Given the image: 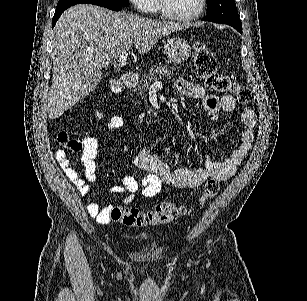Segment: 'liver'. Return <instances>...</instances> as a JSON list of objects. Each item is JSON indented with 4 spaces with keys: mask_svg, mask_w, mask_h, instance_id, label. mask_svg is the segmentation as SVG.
Returning <instances> with one entry per match:
<instances>
[{
    "mask_svg": "<svg viewBox=\"0 0 307 301\" xmlns=\"http://www.w3.org/2000/svg\"><path fill=\"white\" fill-rule=\"evenodd\" d=\"M188 28L173 20L142 18L132 12H113L95 4H75L58 18L52 30V84L48 92L49 118H58L95 90L107 68L133 44L144 54L153 44Z\"/></svg>",
    "mask_w": 307,
    "mask_h": 301,
    "instance_id": "6515ba94",
    "label": "liver"
}]
</instances>
